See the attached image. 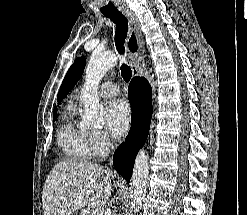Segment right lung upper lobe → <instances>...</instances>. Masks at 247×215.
Returning a JSON list of instances; mask_svg holds the SVG:
<instances>
[{
	"label": "right lung upper lobe",
	"instance_id": "1",
	"mask_svg": "<svg viewBox=\"0 0 247 215\" xmlns=\"http://www.w3.org/2000/svg\"><path fill=\"white\" fill-rule=\"evenodd\" d=\"M57 113V107L54 108V114Z\"/></svg>",
	"mask_w": 247,
	"mask_h": 215
}]
</instances>
